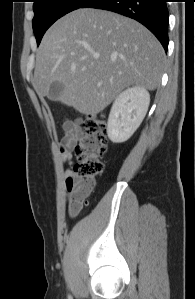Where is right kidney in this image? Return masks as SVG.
Listing matches in <instances>:
<instances>
[{
	"label": "right kidney",
	"mask_w": 195,
	"mask_h": 299,
	"mask_svg": "<svg viewBox=\"0 0 195 299\" xmlns=\"http://www.w3.org/2000/svg\"><path fill=\"white\" fill-rule=\"evenodd\" d=\"M150 103L148 91L135 86L120 93L111 108L107 135L113 143L128 140L143 121Z\"/></svg>",
	"instance_id": "obj_1"
}]
</instances>
